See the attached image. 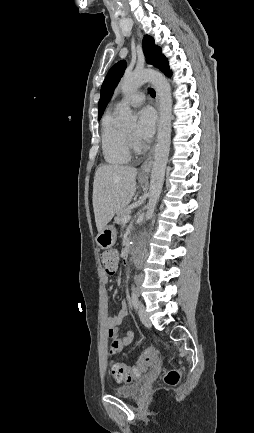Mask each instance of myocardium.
<instances>
[{"label": "myocardium", "instance_id": "1", "mask_svg": "<svg viewBox=\"0 0 254 433\" xmlns=\"http://www.w3.org/2000/svg\"><path fill=\"white\" fill-rule=\"evenodd\" d=\"M124 134H125V138H126V141H127V144L129 146V148L135 147L136 146V142H135L132 134H129L126 131H124Z\"/></svg>", "mask_w": 254, "mask_h": 433}]
</instances>
